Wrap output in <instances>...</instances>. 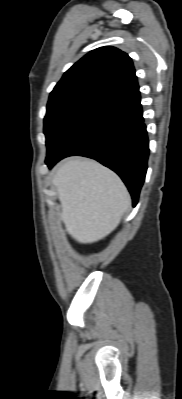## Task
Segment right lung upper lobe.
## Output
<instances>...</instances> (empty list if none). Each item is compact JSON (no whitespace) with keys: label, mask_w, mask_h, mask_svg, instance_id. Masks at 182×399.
Returning a JSON list of instances; mask_svg holds the SVG:
<instances>
[{"label":"right lung upper lobe","mask_w":182,"mask_h":399,"mask_svg":"<svg viewBox=\"0 0 182 399\" xmlns=\"http://www.w3.org/2000/svg\"><path fill=\"white\" fill-rule=\"evenodd\" d=\"M137 89L131 58L106 46L89 52L67 70L49 98L82 94L108 101Z\"/></svg>","instance_id":"right-lung-upper-lobe-1"}]
</instances>
